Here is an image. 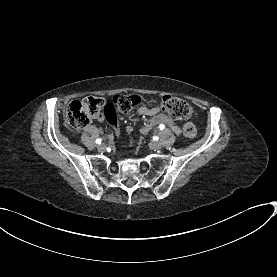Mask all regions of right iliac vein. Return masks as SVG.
<instances>
[{"label": "right iliac vein", "instance_id": "right-iliac-vein-1", "mask_svg": "<svg viewBox=\"0 0 277 277\" xmlns=\"http://www.w3.org/2000/svg\"><path fill=\"white\" fill-rule=\"evenodd\" d=\"M97 148H98L99 151H104L105 148H106V144L101 143V144H99V145L97 146Z\"/></svg>", "mask_w": 277, "mask_h": 277}]
</instances>
